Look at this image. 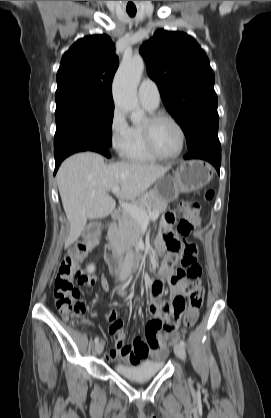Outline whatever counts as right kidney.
<instances>
[{
    "label": "right kidney",
    "mask_w": 271,
    "mask_h": 418,
    "mask_svg": "<svg viewBox=\"0 0 271 418\" xmlns=\"http://www.w3.org/2000/svg\"><path fill=\"white\" fill-rule=\"evenodd\" d=\"M88 273H93L95 271V267L93 264L87 266Z\"/></svg>",
    "instance_id": "ca27d5eb"
}]
</instances>
